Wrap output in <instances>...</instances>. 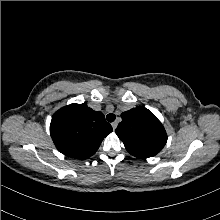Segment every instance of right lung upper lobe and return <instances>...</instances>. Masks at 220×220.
<instances>
[{"instance_id":"right-lung-upper-lobe-1","label":"right lung upper lobe","mask_w":220,"mask_h":220,"mask_svg":"<svg viewBox=\"0 0 220 220\" xmlns=\"http://www.w3.org/2000/svg\"><path fill=\"white\" fill-rule=\"evenodd\" d=\"M112 132L103 113L83 104H70L55 112L50 134L57 149L68 157L86 159L97 151Z\"/></svg>"}]
</instances>
